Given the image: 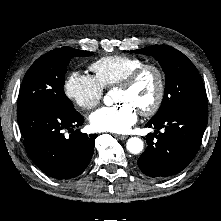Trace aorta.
Listing matches in <instances>:
<instances>
[{"instance_id": "aorta-1", "label": "aorta", "mask_w": 221, "mask_h": 221, "mask_svg": "<svg viewBox=\"0 0 221 221\" xmlns=\"http://www.w3.org/2000/svg\"><path fill=\"white\" fill-rule=\"evenodd\" d=\"M111 101V98L106 95L104 97V103L108 104V102ZM127 150L132 154H139L144 147L143 141L138 137H131L128 139L126 143Z\"/></svg>"}]
</instances>
